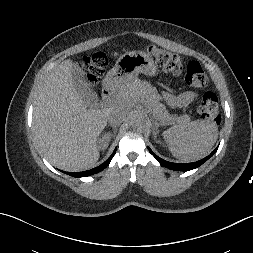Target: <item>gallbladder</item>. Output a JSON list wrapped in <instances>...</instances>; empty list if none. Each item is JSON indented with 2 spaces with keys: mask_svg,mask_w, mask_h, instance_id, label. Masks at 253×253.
<instances>
[{
  "mask_svg": "<svg viewBox=\"0 0 253 253\" xmlns=\"http://www.w3.org/2000/svg\"><path fill=\"white\" fill-rule=\"evenodd\" d=\"M84 75L85 72L80 65L77 62L73 63L72 78L76 91L88 106L95 105L98 102L97 95L85 81Z\"/></svg>",
  "mask_w": 253,
  "mask_h": 253,
  "instance_id": "1",
  "label": "gallbladder"
}]
</instances>
